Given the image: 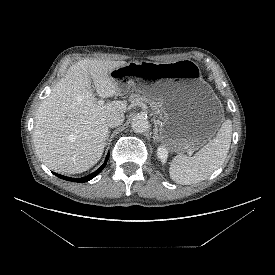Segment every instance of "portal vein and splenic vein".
Returning a JSON list of instances; mask_svg holds the SVG:
<instances>
[{
	"label": "portal vein and splenic vein",
	"mask_w": 275,
	"mask_h": 275,
	"mask_svg": "<svg viewBox=\"0 0 275 275\" xmlns=\"http://www.w3.org/2000/svg\"><path fill=\"white\" fill-rule=\"evenodd\" d=\"M98 104H99V105H103V104H104L103 99H100V100L98 101ZM187 154H188V157H191L192 154H193V151H192V150H189V151L187 152Z\"/></svg>",
	"instance_id": "obj_1"
}]
</instances>
